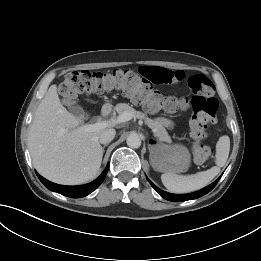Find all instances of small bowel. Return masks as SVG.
Listing matches in <instances>:
<instances>
[{
  "label": "small bowel",
  "instance_id": "small-bowel-1",
  "mask_svg": "<svg viewBox=\"0 0 261 261\" xmlns=\"http://www.w3.org/2000/svg\"><path fill=\"white\" fill-rule=\"evenodd\" d=\"M141 74L155 84H173L182 81L185 77L183 71H174L163 67L145 66L140 69ZM160 123L169 127L170 121L165 118L160 119Z\"/></svg>",
  "mask_w": 261,
  "mask_h": 261
}]
</instances>
